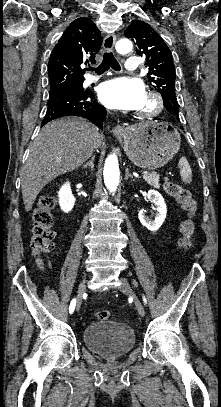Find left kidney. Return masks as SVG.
<instances>
[{
    "mask_svg": "<svg viewBox=\"0 0 221 407\" xmlns=\"http://www.w3.org/2000/svg\"><path fill=\"white\" fill-rule=\"evenodd\" d=\"M147 197L156 206L155 220L148 218L143 210L139 211L138 218L143 226L154 232L157 231L165 221L167 206L163 196L156 190H149Z\"/></svg>",
    "mask_w": 221,
    "mask_h": 407,
    "instance_id": "1",
    "label": "left kidney"
}]
</instances>
